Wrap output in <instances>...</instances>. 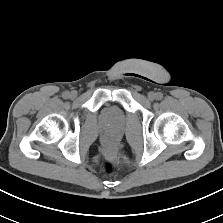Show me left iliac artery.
<instances>
[{
    "label": "left iliac artery",
    "mask_w": 223,
    "mask_h": 223,
    "mask_svg": "<svg viewBox=\"0 0 223 223\" xmlns=\"http://www.w3.org/2000/svg\"><path fill=\"white\" fill-rule=\"evenodd\" d=\"M162 97H163V94H162L161 92H157V93H156V99H157V100H161Z\"/></svg>",
    "instance_id": "44dca946"
}]
</instances>
